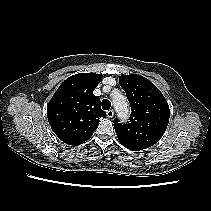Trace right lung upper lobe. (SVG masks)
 I'll use <instances>...</instances> for the list:
<instances>
[{"instance_id":"right-lung-upper-lobe-1","label":"right lung upper lobe","mask_w":211,"mask_h":211,"mask_svg":"<svg viewBox=\"0 0 211 211\" xmlns=\"http://www.w3.org/2000/svg\"><path fill=\"white\" fill-rule=\"evenodd\" d=\"M102 75L81 73L67 78L57 89L47 106V118L57 137L68 145L87 141L106 113L93 90Z\"/></svg>"}]
</instances>
